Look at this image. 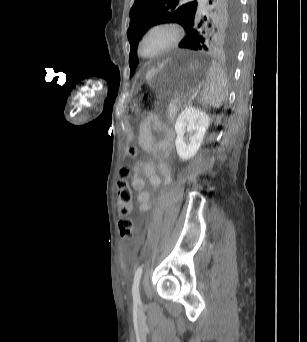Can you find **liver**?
Instances as JSON below:
<instances>
[{"label":"liver","instance_id":"6515ba94","mask_svg":"<svg viewBox=\"0 0 307 342\" xmlns=\"http://www.w3.org/2000/svg\"><path fill=\"white\" fill-rule=\"evenodd\" d=\"M165 62H162V64H159V68H163Z\"/></svg>","mask_w":307,"mask_h":342}]
</instances>
